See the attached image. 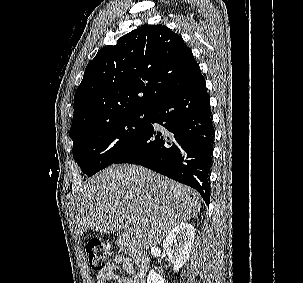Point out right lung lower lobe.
I'll return each mask as SVG.
<instances>
[{
    "label": "right lung lower lobe",
    "mask_w": 303,
    "mask_h": 283,
    "mask_svg": "<svg viewBox=\"0 0 303 283\" xmlns=\"http://www.w3.org/2000/svg\"><path fill=\"white\" fill-rule=\"evenodd\" d=\"M209 101L203 76L162 99L148 110L145 132L114 163L137 164L154 170L193 187L209 204L214 140Z\"/></svg>",
    "instance_id": "obj_1"
}]
</instances>
